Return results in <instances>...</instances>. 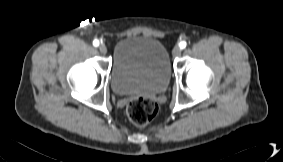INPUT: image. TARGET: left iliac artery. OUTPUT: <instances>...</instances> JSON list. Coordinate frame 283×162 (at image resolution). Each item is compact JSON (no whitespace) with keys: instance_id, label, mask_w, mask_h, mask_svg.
Listing matches in <instances>:
<instances>
[{"instance_id":"1","label":"left iliac artery","mask_w":283,"mask_h":162,"mask_svg":"<svg viewBox=\"0 0 283 162\" xmlns=\"http://www.w3.org/2000/svg\"><path fill=\"white\" fill-rule=\"evenodd\" d=\"M187 43L185 41L180 42L179 46L181 49H184L186 47Z\"/></svg>"}]
</instances>
